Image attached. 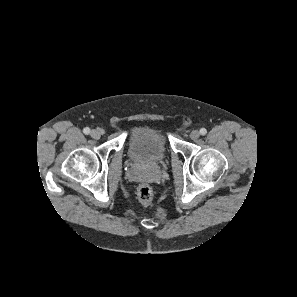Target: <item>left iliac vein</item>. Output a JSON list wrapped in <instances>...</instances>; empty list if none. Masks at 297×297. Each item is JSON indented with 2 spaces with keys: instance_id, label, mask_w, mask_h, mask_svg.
Returning a JSON list of instances; mask_svg holds the SVG:
<instances>
[{
  "instance_id": "left-iliac-vein-1",
  "label": "left iliac vein",
  "mask_w": 297,
  "mask_h": 297,
  "mask_svg": "<svg viewBox=\"0 0 297 297\" xmlns=\"http://www.w3.org/2000/svg\"><path fill=\"white\" fill-rule=\"evenodd\" d=\"M199 135H200L199 131H197V130H193V131H191V133H190V138H191L192 140H197V139L199 138Z\"/></svg>"
}]
</instances>
